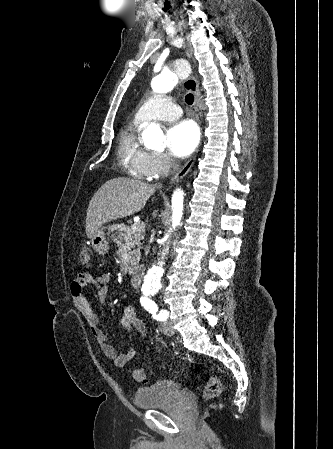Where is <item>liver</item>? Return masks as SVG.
Here are the masks:
<instances>
[{
    "instance_id": "1",
    "label": "liver",
    "mask_w": 333,
    "mask_h": 449,
    "mask_svg": "<svg viewBox=\"0 0 333 449\" xmlns=\"http://www.w3.org/2000/svg\"><path fill=\"white\" fill-rule=\"evenodd\" d=\"M155 185L118 177L104 183L91 199L86 216V234L91 238L103 224L142 210Z\"/></svg>"
}]
</instances>
